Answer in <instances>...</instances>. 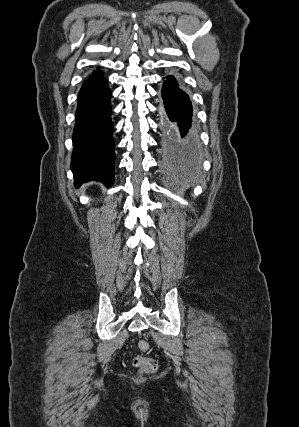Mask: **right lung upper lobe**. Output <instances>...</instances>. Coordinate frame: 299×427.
I'll list each match as a JSON object with an SVG mask.
<instances>
[{
	"label": "right lung upper lobe",
	"instance_id": "right-lung-upper-lobe-1",
	"mask_svg": "<svg viewBox=\"0 0 299 427\" xmlns=\"http://www.w3.org/2000/svg\"><path fill=\"white\" fill-rule=\"evenodd\" d=\"M99 74H101V73H100V72H98V71H96V72H94V73H93L92 77L97 76V75H99Z\"/></svg>",
	"mask_w": 299,
	"mask_h": 427
}]
</instances>
